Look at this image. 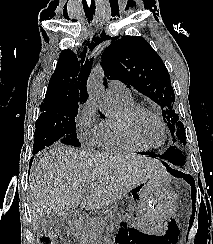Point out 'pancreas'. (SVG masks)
<instances>
[{"mask_svg": "<svg viewBox=\"0 0 213 244\" xmlns=\"http://www.w3.org/2000/svg\"><path fill=\"white\" fill-rule=\"evenodd\" d=\"M94 223L96 222L87 221L81 228V236L85 242L84 244L97 238V227Z\"/></svg>", "mask_w": 213, "mask_h": 244, "instance_id": "pancreas-1", "label": "pancreas"}]
</instances>
